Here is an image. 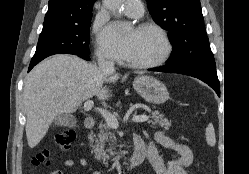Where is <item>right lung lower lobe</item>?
<instances>
[{"mask_svg": "<svg viewBox=\"0 0 249 174\" xmlns=\"http://www.w3.org/2000/svg\"><path fill=\"white\" fill-rule=\"evenodd\" d=\"M77 56L85 59V60H90L89 58V55L88 54H76ZM40 61H35V62H31L30 65H29V71L37 64L39 63Z\"/></svg>", "mask_w": 249, "mask_h": 174, "instance_id": "1", "label": "right lung lower lobe"}]
</instances>
